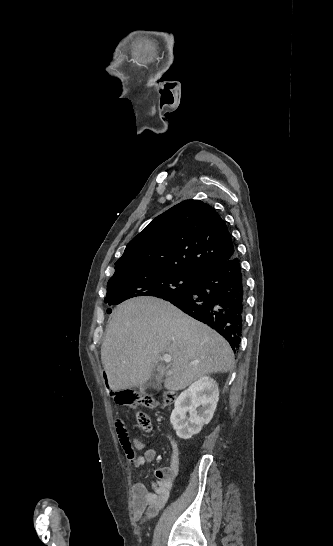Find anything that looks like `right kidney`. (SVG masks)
I'll return each mask as SVG.
<instances>
[{"label":"right kidney","instance_id":"right-kidney-1","mask_svg":"<svg viewBox=\"0 0 333 546\" xmlns=\"http://www.w3.org/2000/svg\"><path fill=\"white\" fill-rule=\"evenodd\" d=\"M219 389L216 381L204 376L192 383L175 400L170 421L178 437L190 439L213 417Z\"/></svg>","mask_w":333,"mask_h":546}]
</instances>
